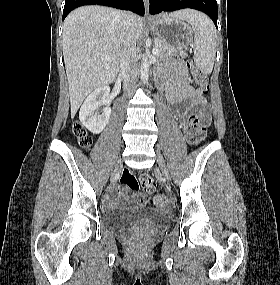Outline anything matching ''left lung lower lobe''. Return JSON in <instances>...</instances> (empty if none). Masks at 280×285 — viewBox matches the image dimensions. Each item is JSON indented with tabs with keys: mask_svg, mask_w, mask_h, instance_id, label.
Returning a JSON list of instances; mask_svg holds the SVG:
<instances>
[{
	"mask_svg": "<svg viewBox=\"0 0 280 285\" xmlns=\"http://www.w3.org/2000/svg\"><path fill=\"white\" fill-rule=\"evenodd\" d=\"M192 8L206 13L217 27V1L216 0H150V14L162 11H175Z\"/></svg>",
	"mask_w": 280,
	"mask_h": 285,
	"instance_id": "0a47b994",
	"label": "left lung lower lobe"
}]
</instances>
